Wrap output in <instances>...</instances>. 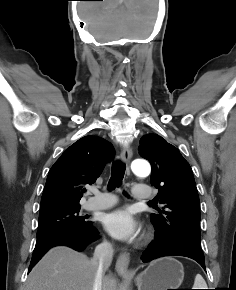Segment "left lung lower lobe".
Here are the masks:
<instances>
[{"label":"left lung lower lobe","instance_id":"1","mask_svg":"<svg viewBox=\"0 0 236 290\" xmlns=\"http://www.w3.org/2000/svg\"><path fill=\"white\" fill-rule=\"evenodd\" d=\"M170 255L189 257L197 261L206 270L204 254L200 244L187 237H179L170 241L167 240L162 231L156 230L155 240L143 252V262Z\"/></svg>","mask_w":236,"mask_h":290}]
</instances>
